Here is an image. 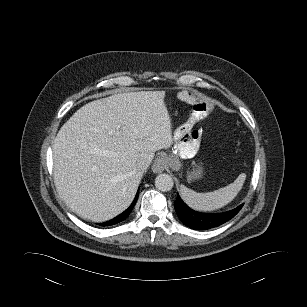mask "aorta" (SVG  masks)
I'll use <instances>...</instances> for the list:
<instances>
[{
  "label": "aorta",
  "mask_w": 307,
  "mask_h": 307,
  "mask_svg": "<svg viewBox=\"0 0 307 307\" xmlns=\"http://www.w3.org/2000/svg\"><path fill=\"white\" fill-rule=\"evenodd\" d=\"M174 182L169 174H159L155 179V186L162 192L170 191L173 188Z\"/></svg>",
  "instance_id": "aorta-1"
}]
</instances>
